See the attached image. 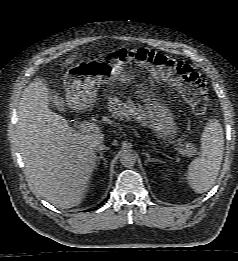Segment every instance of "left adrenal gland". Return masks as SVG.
Here are the masks:
<instances>
[{"label": "left adrenal gland", "mask_w": 238, "mask_h": 261, "mask_svg": "<svg viewBox=\"0 0 238 261\" xmlns=\"http://www.w3.org/2000/svg\"><path fill=\"white\" fill-rule=\"evenodd\" d=\"M144 154L146 155L147 159L145 161V163H148V162H154V161H158V159H155V158H151V156L147 153V152H144Z\"/></svg>", "instance_id": "1"}]
</instances>
